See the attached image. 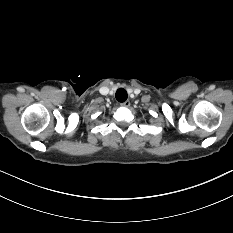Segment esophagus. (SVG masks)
I'll return each mask as SVG.
<instances>
[{
  "label": "esophagus",
  "instance_id": "obj_1",
  "mask_svg": "<svg viewBox=\"0 0 233 233\" xmlns=\"http://www.w3.org/2000/svg\"><path fill=\"white\" fill-rule=\"evenodd\" d=\"M121 106H123V107H129L130 106V101L126 100L125 102H122Z\"/></svg>",
  "mask_w": 233,
  "mask_h": 233
}]
</instances>
